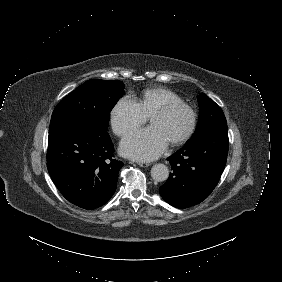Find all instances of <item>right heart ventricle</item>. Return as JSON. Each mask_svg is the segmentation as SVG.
Wrapping results in <instances>:
<instances>
[{"label":"right heart ventricle","instance_id":"right-heart-ventricle-1","mask_svg":"<svg viewBox=\"0 0 282 282\" xmlns=\"http://www.w3.org/2000/svg\"><path fill=\"white\" fill-rule=\"evenodd\" d=\"M165 100L180 101L178 96L164 88L148 89L140 97L134 98V101L146 117H149Z\"/></svg>","mask_w":282,"mask_h":282}]
</instances>
